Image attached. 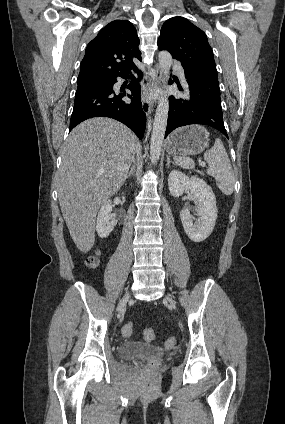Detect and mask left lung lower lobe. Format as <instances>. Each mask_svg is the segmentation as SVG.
<instances>
[{
  "label": "left lung lower lobe",
  "mask_w": 285,
  "mask_h": 424,
  "mask_svg": "<svg viewBox=\"0 0 285 424\" xmlns=\"http://www.w3.org/2000/svg\"><path fill=\"white\" fill-rule=\"evenodd\" d=\"M185 77L189 95L187 98H169L165 137L177 127L190 124L214 127L228 137L223 123L217 71L199 69L186 73Z\"/></svg>",
  "instance_id": "obj_1"
}]
</instances>
